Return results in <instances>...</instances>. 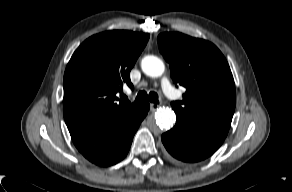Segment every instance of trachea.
Segmentation results:
<instances>
[{"instance_id":"trachea-1","label":"trachea","mask_w":292,"mask_h":192,"mask_svg":"<svg viewBox=\"0 0 292 192\" xmlns=\"http://www.w3.org/2000/svg\"><path fill=\"white\" fill-rule=\"evenodd\" d=\"M153 102V103H159L158 95L155 92H150L147 94L145 91H140L138 95L136 96L135 102L142 103L147 101Z\"/></svg>"}]
</instances>
